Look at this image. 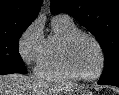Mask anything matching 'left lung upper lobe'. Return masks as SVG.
I'll return each instance as SVG.
<instances>
[{
  "label": "left lung upper lobe",
  "instance_id": "5c2ea615",
  "mask_svg": "<svg viewBox=\"0 0 119 95\" xmlns=\"http://www.w3.org/2000/svg\"><path fill=\"white\" fill-rule=\"evenodd\" d=\"M67 13L95 35L105 54L99 82L119 83V0H51V13Z\"/></svg>",
  "mask_w": 119,
  "mask_h": 95
}]
</instances>
